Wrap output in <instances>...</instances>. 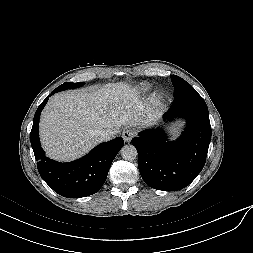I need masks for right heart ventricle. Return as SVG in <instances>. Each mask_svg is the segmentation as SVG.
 <instances>
[{
	"mask_svg": "<svg viewBox=\"0 0 253 253\" xmlns=\"http://www.w3.org/2000/svg\"><path fill=\"white\" fill-rule=\"evenodd\" d=\"M142 91L145 93L148 91V88H143Z\"/></svg>",
	"mask_w": 253,
	"mask_h": 253,
	"instance_id": "e07e8e85",
	"label": "right heart ventricle"
}]
</instances>
